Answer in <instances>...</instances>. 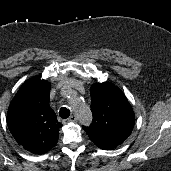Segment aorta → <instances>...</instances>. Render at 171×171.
<instances>
[{
  "instance_id": "aorta-1",
  "label": "aorta",
  "mask_w": 171,
  "mask_h": 171,
  "mask_svg": "<svg viewBox=\"0 0 171 171\" xmlns=\"http://www.w3.org/2000/svg\"><path fill=\"white\" fill-rule=\"evenodd\" d=\"M72 107L77 114L79 120L84 125H88L92 120V115L88 106L78 99H74L72 102Z\"/></svg>"
}]
</instances>
